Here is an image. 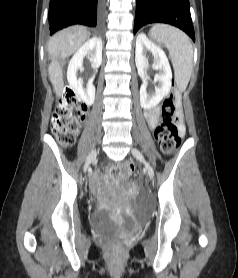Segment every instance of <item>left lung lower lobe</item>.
<instances>
[{
    "instance_id": "0a47b994",
    "label": "left lung lower lobe",
    "mask_w": 238,
    "mask_h": 278,
    "mask_svg": "<svg viewBox=\"0 0 238 278\" xmlns=\"http://www.w3.org/2000/svg\"><path fill=\"white\" fill-rule=\"evenodd\" d=\"M154 22L174 25L195 41L189 0H136L134 34L142 26Z\"/></svg>"
}]
</instances>
